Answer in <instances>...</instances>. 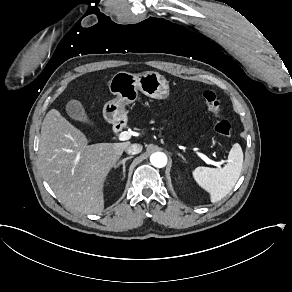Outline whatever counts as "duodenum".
I'll list each match as a JSON object with an SVG mask.
<instances>
[{
	"label": "duodenum",
	"instance_id": "duodenum-1",
	"mask_svg": "<svg viewBox=\"0 0 292 292\" xmlns=\"http://www.w3.org/2000/svg\"><path fill=\"white\" fill-rule=\"evenodd\" d=\"M121 131V127L120 126H117L114 128V132L118 133Z\"/></svg>",
	"mask_w": 292,
	"mask_h": 292
}]
</instances>
